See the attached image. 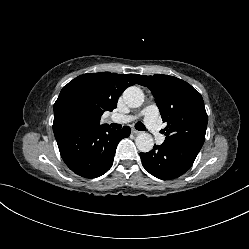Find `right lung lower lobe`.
Here are the masks:
<instances>
[{
  "label": "right lung lower lobe",
  "mask_w": 249,
  "mask_h": 249,
  "mask_svg": "<svg viewBox=\"0 0 249 249\" xmlns=\"http://www.w3.org/2000/svg\"><path fill=\"white\" fill-rule=\"evenodd\" d=\"M62 159L76 174L96 178L113 164L119 141L130 135L128 126L115 130L109 126L84 128L70 124L53 127Z\"/></svg>",
  "instance_id": "obj_1"
}]
</instances>
